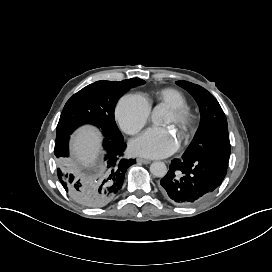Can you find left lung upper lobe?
<instances>
[{
	"instance_id": "left-lung-upper-lobe-1",
	"label": "left lung upper lobe",
	"mask_w": 272,
	"mask_h": 272,
	"mask_svg": "<svg viewBox=\"0 0 272 272\" xmlns=\"http://www.w3.org/2000/svg\"><path fill=\"white\" fill-rule=\"evenodd\" d=\"M196 100L201 114L200 126L184 152V157H216L229 161L230 141L225 114L215 97L203 87L177 81Z\"/></svg>"
}]
</instances>
